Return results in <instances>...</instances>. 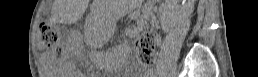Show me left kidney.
<instances>
[{
    "label": "left kidney",
    "mask_w": 258,
    "mask_h": 77,
    "mask_svg": "<svg viewBox=\"0 0 258 77\" xmlns=\"http://www.w3.org/2000/svg\"><path fill=\"white\" fill-rule=\"evenodd\" d=\"M186 2V0H183V3ZM188 2H195V0H192V1H188ZM193 11V7H186L185 9V17L186 16H189Z\"/></svg>",
    "instance_id": "obj_1"
}]
</instances>
